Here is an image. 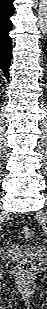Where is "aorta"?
<instances>
[{"mask_svg": "<svg viewBox=\"0 0 47 309\" xmlns=\"http://www.w3.org/2000/svg\"><path fill=\"white\" fill-rule=\"evenodd\" d=\"M38 26L42 32L47 28V3L44 1L39 9Z\"/></svg>", "mask_w": 47, "mask_h": 309, "instance_id": "aorta-1", "label": "aorta"}]
</instances>
